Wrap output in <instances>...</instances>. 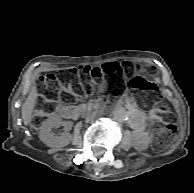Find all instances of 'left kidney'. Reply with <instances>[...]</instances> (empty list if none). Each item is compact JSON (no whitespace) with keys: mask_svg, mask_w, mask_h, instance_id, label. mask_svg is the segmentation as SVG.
<instances>
[{"mask_svg":"<svg viewBox=\"0 0 194 193\" xmlns=\"http://www.w3.org/2000/svg\"><path fill=\"white\" fill-rule=\"evenodd\" d=\"M150 143V137L147 133L142 132L135 136L134 147L137 150H145L148 148Z\"/></svg>","mask_w":194,"mask_h":193,"instance_id":"5707ae66","label":"left kidney"}]
</instances>
